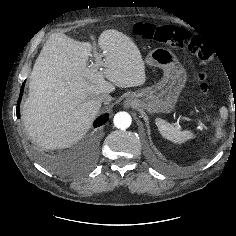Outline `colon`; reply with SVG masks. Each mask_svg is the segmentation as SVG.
Masks as SVG:
<instances>
[{
  "mask_svg": "<svg viewBox=\"0 0 236 236\" xmlns=\"http://www.w3.org/2000/svg\"><path fill=\"white\" fill-rule=\"evenodd\" d=\"M134 31L146 39L153 40L174 48H183L198 56L203 68H205L213 58L211 48L200 37L193 35L184 28L172 25H157L154 23H136ZM199 87L202 93H208L210 85L208 76L203 69L199 75Z\"/></svg>",
  "mask_w": 236,
  "mask_h": 236,
  "instance_id": "1",
  "label": "colon"
}]
</instances>
